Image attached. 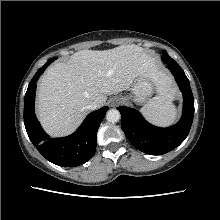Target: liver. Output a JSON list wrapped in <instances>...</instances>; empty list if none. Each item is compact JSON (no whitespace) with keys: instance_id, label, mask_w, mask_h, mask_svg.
Listing matches in <instances>:
<instances>
[{"instance_id":"liver-1","label":"liver","mask_w":220,"mask_h":220,"mask_svg":"<svg viewBox=\"0 0 220 220\" xmlns=\"http://www.w3.org/2000/svg\"><path fill=\"white\" fill-rule=\"evenodd\" d=\"M152 74V60L134 44L75 52L66 63H55L41 77L38 118L50 135H69L88 114L90 103L97 102L102 107L108 95L127 90L137 76ZM158 83L162 95L173 94L164 78Z\"/></svg>"}]
</instances>
